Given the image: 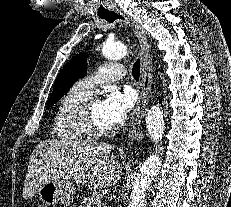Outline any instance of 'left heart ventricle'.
I'll return each instance as SVG.
<instances>
[{
  "mask_svg": "<svg viewBox=\"0 0 231 207\" xmlns=\"http://www.w3.org/2000/svg\"><path fill=\"white\" fill-rule=\"evenodd\" d=\"M92 114L95 122L102 128H110L112 127L110 124H108L102 115V103L97 101L93 103L92 105Z\"/></svg>",
  "mask_w": 231,
  "mask_h": 207,
  "instance_id": "left-heart-ventricle-1",
  "label": "left heart ventricle"
}]
</instances>
